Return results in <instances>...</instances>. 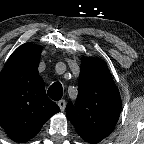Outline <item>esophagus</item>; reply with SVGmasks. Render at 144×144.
Masks as SVG:
<instances>
[{"label":"esophagus","instance_id":"34e87169","mask_svg":"<svg viewBox=\"0 0 144 144\" xmlns=\"http://www.w3.org/2000/svg\"><path fill=\"white\" fill-rule=\"evenodd\" d=\"M58 106H59V108H60L61 111H64L65 107H66V101L65 100H60L58 102Z\"/></svg>","mask_w":144,"mask_h":144}]
</instances>
